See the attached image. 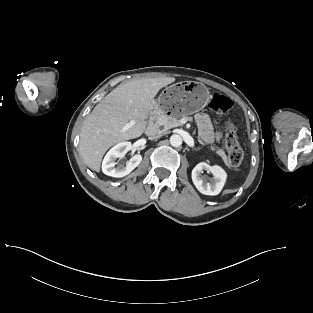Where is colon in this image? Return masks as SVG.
Masks as SVG:
<instances>
[{
	"instance_id": "5ec220e1",
	"label": "colon",
	"mask_w": 313,
	"mask_h": 313,
	"mask_svg": "<svg viewBox=\"0 0 313 313\" xmlns=\"http://www.w3.org/2000/svg\"><path fill=\"white\" fill-rule=\"evenodd\" d=\"M209 107L216 112L226 114L233 107V102L229 97L216 93L212 96ZM225 146L231 165L239 166L243 161V150L237 138L236 128L231 120L227 122Z\"/></svg>"
}]
</instances>
